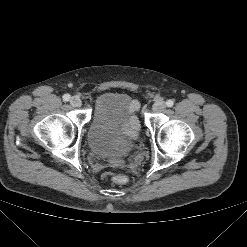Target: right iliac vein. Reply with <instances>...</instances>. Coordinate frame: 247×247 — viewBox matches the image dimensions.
Wrapping results in <instances>:
<instances>
[{
  "instance_id": "right-iliac-vein-1",
  "label": "right iliac vein",
  "mask_w": 247,
  "mask_h": 247,
  "mask_svg": "<svg viewBox=\"0 0 247 247\" xmlns=\"http://www.w3.org/2000/svg\"><path fill=\"white\" fill-rule=\"evenodd\" d=\"M70 104L74 107H80L82 105V101L79 97L77 96H73L71 99H70Z\"/></svg>"
}]
</instances>
